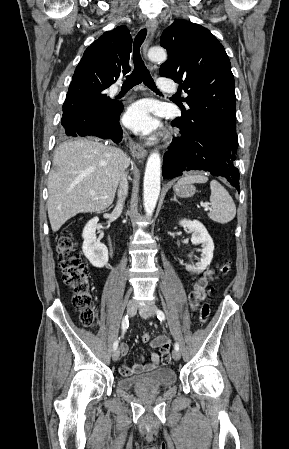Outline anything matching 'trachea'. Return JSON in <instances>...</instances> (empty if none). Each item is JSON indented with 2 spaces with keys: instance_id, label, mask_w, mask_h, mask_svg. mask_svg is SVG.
Here are the masks:
<instances>
[{
  "instance_id": "3493384b",
  "label": "trachea",
  "mask_w": 289,
  "mask_h": 449,
  "mask_svg": "<svg viewBox=\"0 0 289 449\" xmlns=\"http://www.w3.org/2000/svg\"><path fill=\"white\" fill-rule=\"evenodd\" d=\"M147 35V30L142 29L137 36L135 37L133 44V62H134V70L128 75L123 83V89H131L133 86L138 85L140 83H144L148 88L155 92H159L155 83L149 73V70L144 64V61L140 55V47L145 40Z\"/></svg>"
}]
</instances>
